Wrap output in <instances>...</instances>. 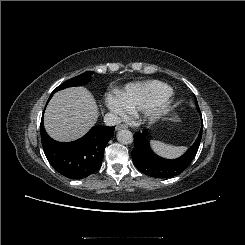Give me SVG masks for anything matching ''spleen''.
Here are the masks:
<instances>
[{"instance_id":"3e777b00","label":"spleen","mask_w":245,"mask_h":245,"mask_svg":"<svg viewBox=\"0 0 245 245\" xmlns=\"http://www.w3.org/2000/svg\"><path fill=\"white\" fill-rule=\"evenodd\" d=\"M150 145L156 154L168 159L178 158L186 150L184 146H173L156 140H152Z\"/></svg>"}]
</instances>
